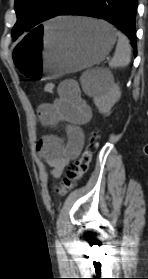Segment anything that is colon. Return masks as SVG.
I'll list each match as a JSON object with an SVG mask.
<instances>
[{"label": "colon", "mask_w": 148, "mask_h": 279, "mask_svg": "<svg viewBox=\"0 0 148 279\" xmlns=\"http://www.w3.org/2000/svg\"><path fill=\"white\" fill-rule=\"evenodd\" d=\"M44 91L49 94L54 93L55 85L53 83H46L44 85ZM98 138L99 133L97 131H93L89 135L87 144L85 145V148L81 153L79 159L68 165L66 170L67 176L63 184L55 190L56 194H58L59 196L67 194L87 173L93 158V154L98 145Z\"/></svg>", "instance_id": "5ec220e1"}]
</instances>
